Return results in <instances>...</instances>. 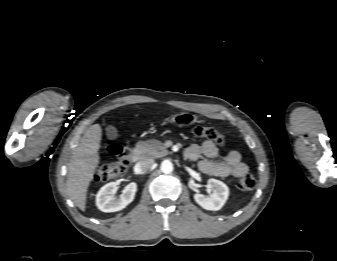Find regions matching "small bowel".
<instances>
[{
    "mask_svg": "<svg viewBox=\"0 0 337 261\" xmlns=\"http://www.w3.org/2000/svg\"><path fill=\"white\" fill-rule=\"evenodd\" d=\"M186 158L198 162L201 172L217 177H241L248 172V166L242 161L241 154L237 151L228 152L222 161H213L219 155L217 146L212 141H204L202 144H192L184 152ZM205 156L208 159H201Z\"/></svg>",
    "mask_w": 337,
    "mask_h": 261,
    "instance_id": "obj_1",
    "label": "small bowel"
}]
</instances>
